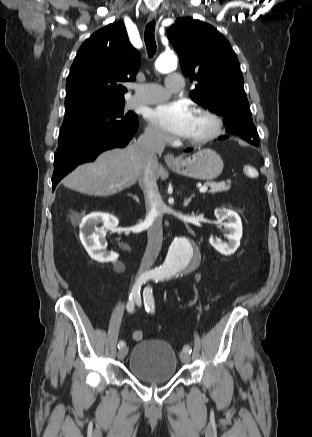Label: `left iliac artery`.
I'll list each match as a JSON object with an SVG mask.
<instances>
[{
    "mask_svg": "<svg viewBox=\"0 0 312 437\" xmlns=\"http://www.w3.org/2000/svg\"><path fill=\"white\" fill-rule=\"evenodd\" d=\"M154 280L157 282L158 278L155 277ZM143 297H144V303H145L146 310L148 312L149 311L150 312H154V306H155V304H154V297H153V294H152V289L150 287H146L144 289ZM183 351L191 354L192 350H191L189 345H185L183 347Z\"/></svg>",
    "mask_w": 312,
    "mask_h": 437,
    "instance_id": "1",
    "label": "left iliac artery"
}]
</instances>
